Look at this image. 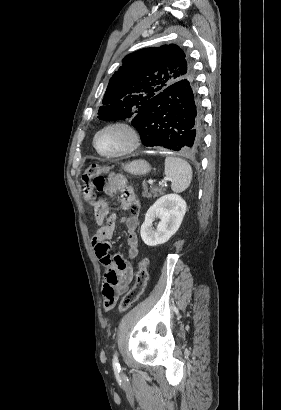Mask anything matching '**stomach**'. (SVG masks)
Masks as SVG:
<instances>
[{
	"label": "stomach",
	"instance_id": "stomach-1",
	"mask_svg": "<svg viewBox=\"0 0 281 410\" xmlns=\"http://www.w3.org/2000/svg\"><path fill=\"white\" fill-rule=\"evenodd\" d=\"M123 169L133 175H145L150 172L151 166L145 160H134L123 165Z\"/></svg>",
	"mask_w": 281,
	"mask_h": 410
}]
</instances>
